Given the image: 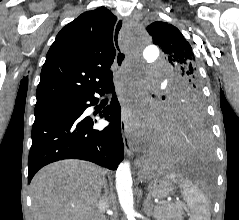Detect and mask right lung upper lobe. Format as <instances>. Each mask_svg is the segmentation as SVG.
I'll use <instances>...</instances> for the list:
<instances>
[{
  "label": "right lung upper lobe",
  "instance_id": "1",
  "mask_svg": "<svg viewBox=\"0 0 239 220\" xmlns=\"http://www.w3.org/2000/svg\"><path fill=\"white\" fill-rule=\"evenodd\" d=\"M116 20L111 11L99 7L62 28L46 55L35 108L86 96L113 76Z\"/></svg>",
  "mask_w": 239,
  "mask_h": 220
}]
</instances>
